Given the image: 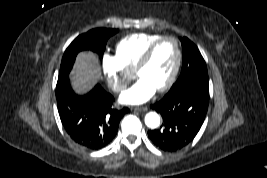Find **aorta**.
<instances>
[{
    "mask_svg": "<svg viewBox=\"0 0 267 178\" xmlns=\"http://www.w3.org/2000/svg\"><path fill=\"white\" fill-rule=\"evenodd\" d=\"M145 124L151 129H155L160 125V116L156 112H149L145 115Z\"/></svg>",
    "mask_w": 267,
    "mask_h": 178,
    "instance_id": "1",
    "label": "aorta"
}]
</instances>
